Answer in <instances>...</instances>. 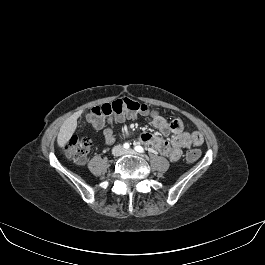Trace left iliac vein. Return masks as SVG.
Listing matches in <instances>:
<instances>
[{
	"mask_svg": "<svg viewBox=\"0 0 265 265\" xmlns=\"http://www.w3.org/2000/svg\"><path fill=\"white\" fill-rule=\"evenodd\" d=\"M125 154H129V155H136V151L133 149H128L124 151Z\"/></svg>",
	"mask_w": 265,
	"mask_h": 265,
	"instance_id": "4c4485c4",
	"label": "left iliac vein"
}]
</instances>
